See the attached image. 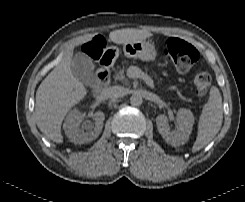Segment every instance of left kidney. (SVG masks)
<instances>
[{
  "mask_svg": "<svg viewBox=\"0 0 245 202\" xmlns=\"http://www.w3.org/2000/svg\"><path fill=\"white\" fill-rule=\"evenodd\" d=\"M176 120L177 130L175 132H171L167 116L159 115L156 118V125L159 133L165 142L172 146L183 145L188 141L194 124V116L188 109H179Z\"/></svg>",
  "mask_w": 245,
  "mask_h": 202,
  "instance_id": "left-kidney-1",
  "label": "left kidney"
}]
</instances>
